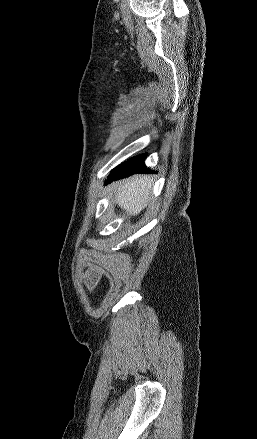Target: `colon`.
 <instances>
[{
	"label": "colon",
	"instance_id": "1",
	"mask_svg": "<svg viewBox=\"0 0 257 439\" xmlns=\"http://www.w3.org/2000/svg\"><path fill=\"white\" fill-rule=\"evenodd\" d=\"M99 280L98 274L94 271H90L86 277V284L89 289L95 288Z\"/></svg>",
	"mask_w": 257,
	"mask_h": 439
}]
</instances>
